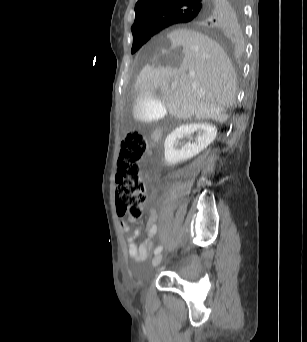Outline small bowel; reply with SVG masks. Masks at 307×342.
Here are the masks:
<instances>
[{
    "instance_id": "small-bowel-1",
    "label": "small bowel",
    "mask_w": 307,
    "mask_h": 342,
    "mask_svg": "<svg viewBox=\"0 0 307 342\" xmlns=\"http://www.w3.org/2000/svg\"><path fill=\"white\" fill-rule=\"evenodd\" d=\"M131 221H134L130 219ZM157 212L155 209L151 208L149 211L148 226L146 228L147 239L142 242L139 246L136 244V240L139 237V230L134 231L127 237V250L130 257L136 262L144 261L152 251L153 241L157 233ZM123 229L125 232H129V227L123 224Z\"/></svg>"
}]
</instances>
